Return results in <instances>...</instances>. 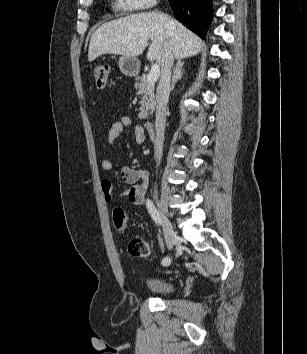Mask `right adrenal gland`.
Returning <instances> with one entry per match:
<instances>
[{"label":"right adrenal gland","mask_w":307,"mask_h":354,"mask_svg":"<svg viewBox=\"0 0 307 354\" xmlns=\"http://www.w3.org/2000/svg\"><path fill=\"white\" fill-rule=\"evenodd\" d=\"M183 65L184 62H182L180 59L177 61L176 66L174 67L173 70V76H172V86H171V90L174 89L175 87V83L180 80L183 76Z\"/></svg>","instance_id":"right-adrenal-gland-1"}]
</instances>
